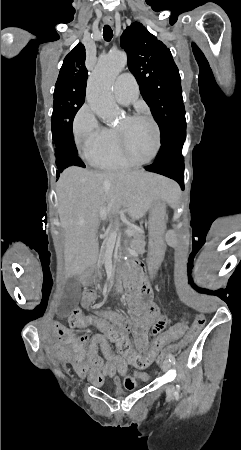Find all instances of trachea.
Masks as SVG:
<instances>
[{
  "label": "trachea",
  "mask_w": 241,
  "mask_h": 450,
  "mask_svg": "<svg viewBox=\"0 0 241 450\" xmlns=\"http://www.w3.org/2000/svg\"><path fill=\"white\" fill-rule=\"evenodd\" d=\"M113 37V31L109 25H105L103 28V38L106 42H110Z\"/></svg>",
  "instance_id": "obj_1"
}]
</instances>
